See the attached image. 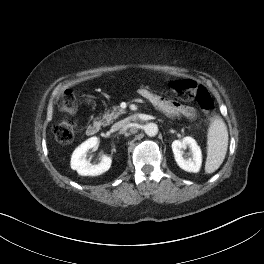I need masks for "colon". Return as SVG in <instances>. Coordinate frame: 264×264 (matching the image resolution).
Returning <instances> with one entry per match:
<instances>
[{
  "instance_id": "1",
  "label": "colon",
  "mask_w": 264,
  "mask_h": 264,
  "mask_svg": "<svg viewBox=\"0 0 264 264\" xmlns=\"http://www.w3.org/2000/svg\"><path fill=\"white\" fill-rule=\"evenodd\" d=\"M170 87L176 96L184 102L195 101L209 117H213L214 102L209 91L191 80H175ZM62 110L68 115L54 129L55 137L61 143H70L75 136L76 122L71 118L77 112V102L74 94L66 91L62 100Z\"/></svg>"
}]
</instances>
